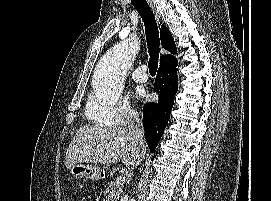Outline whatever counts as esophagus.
Segmentation results:
<instances>
[{"label":"esophagus","instance_id":"esophagus-1","mask_svg":"<svg viewBox=\"0 0 271 201\" xmlns=\"http://www.w3.org/2000/svg\"><path fill=\"white\" fill-rule=\"evenodd\" d=\"M149 2H150V0H148ZM150 5H151V7H152V10L154 11V13H155V16H156V18H157V21H159L160 22V20H159V17H158V14H157V12L155 11V9H154V6L152 5V3L150 2Z\"/></svg>","mask_w":271,"mask_h":201}]
</instances>
